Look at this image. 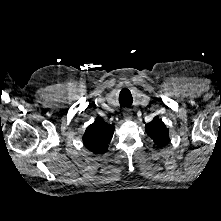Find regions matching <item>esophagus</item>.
Masks as SVG:
<instances>
[{
	"instance_id": "esophagus-1",
	"label": "esophagus",
	"mask_w": 221,
	"mask_h": 221,
	"mask_svg": "<svg viewBox=\"0 0 221 221\" xmlns=\"http://www.w3.org/2000/svg\"><path fill=\"white\" fill-rule=\"evenodd\" d=\"M132 110L129 109V108H125L124 111H123V116L126 120H131L132 119Z\"/></svg>"
}]
</instances>
